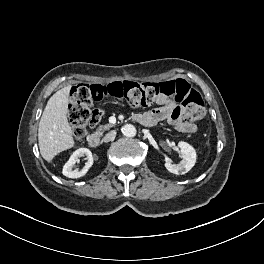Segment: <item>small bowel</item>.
Returning a JSON list of instances; mask_svg holds the SVG:
<instances>
[{
	"instance_id": "c3829d8e",
	"label": "small bowel",
	"mask_w": 264,
	"mask_h": 264,
	"mask_svg": "<svg viewBox=\"0 0 264 264\" xmlns=\"http://www.w3.org/2000/svg\"><path fill=\"white\" fill-rule=\"evenodd\" d=\"M161 105L157 108L149 110L143 114H137L135 118H142L152 125L167 121L173 125L179 132L192 134L197 130L196 124L183 119L182 111L179 105L173 101H165L160 103Z\"/></svg>"
}]
</instances>
